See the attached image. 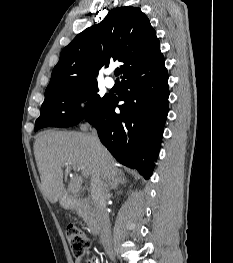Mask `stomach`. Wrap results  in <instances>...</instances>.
I'll list each match as a JSON object with an SVG mask.
<instances>
[{"label": "stomach", "instance_id": "1", "mask_svg": "<svg viewBox=\"0 0 233 263\" xmlns=\"http://www.w3.org/2000/svg\"><path fill=\"white\" fill-rule=\"evenodd\" d=\"M59 203L62 207L64 208H69L70 206V203H69V200L67 197L63 196L60 200H59Z\"/></svg>", "mask_w": 233, "mask_h": 263}]
</instances>
